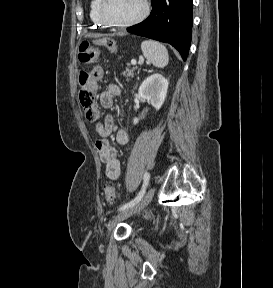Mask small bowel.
<instances>
[{"mask_svg":"<svg viewBox=\"0 0 273 288\" xmlns=\"http://www.w3.org/2000/svg\"><path fill=\"white\" fill-rule=\"evenodd\" d=\"M121 95V89L117 84H110L99 96V102L103 108H110L113 105L115 97ZM114 130V119L108 114L103 121L95 124V133L97 135L96 149L102 162L105 165V173L111 180L120 178V161L116 150L109 143L108 137ZM118 144L124 145L129 140L128 132L124 128L118 129L115 135Z\"/></svg>","mask_w":273,"mask_h":288,"instance_id":"obj_1","label":"small bowel"}]
</instances>
